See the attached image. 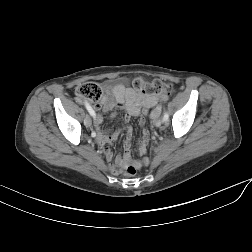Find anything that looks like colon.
Returning <instances> with one entry per match:
<instances>
[{
    "label": "colon",
    "instance_id": "obj_1",
    "mask_svg": "<svg viewBox=\"0 0 252 252\" xmlns=\"http://www.w3.org/2000/svg\"><path fill=\"white\" fill-rule=\"evenodd\" d=\"M133 86L136 90L145 94H162L168 93L171 89V84L162 80H155L151 84L146 83L141 78H136L133 81ZM76 94L79 98L88 102H98L102 97V90L100 86L93 82H86L79 85L76 89ZM139 169V164H129L125 168V175L133 177Z\"/></svg>",
    "mask_w": 252,
    "mask_h": 252
}]
</instances>
